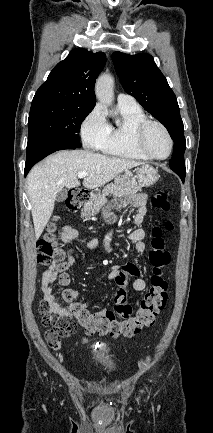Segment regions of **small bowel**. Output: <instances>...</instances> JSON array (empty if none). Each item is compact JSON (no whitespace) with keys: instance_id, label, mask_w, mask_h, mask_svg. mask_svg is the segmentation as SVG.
Returning a JSON list of instances; mask_svg holds the SVG:
<instances>
[{"instance_id":"small-bowel-1","label":"small bowel","mask_w":213,"mask_h":433,"mask_svg":"<svg viewBox=\"0 0 213 433\" xmlns=\"http://www.w3.org/2000/svg\"><path fill=\"white\" fill-rule=\"evenodd\" d=\"M120 206L122 208H126L128 206H132L136 209V214L134 215L133 222L136 226H140L145 218L147 213L146 208V195L143 193H137L130 196L128 199L121 202ZM113 216H108L109 221H113ZM113 231H109L101 240V244L106 253H110L112 251V239H113ZM80 236L79 231L73 226H66L61 233V239L65 245H69L72 241L78 239ZM145 239V231L141 228H137L128 234V240L133 245L135 251L137 253H144L146 250V246L144 243ZM100 243L99 240L95 239L90 242H86L85 245L87 247H93ZM79 258V255L75 251H71L69 258L64 261L61 265L57 263H53L44 273L42 277L41 290L43 293V300L45 307L48 310V313L60 318L71 319L73 318L71 312L67 307L61 305L56 299L53 292V284L56 279L62 276L67 269H69L74 262ZM120 271H127L128 275L131 277H135V280L132 283V288L135 291H143L147 286V281L140 277V269L137 265L128 263L123 266L116 265L113 266L112 272L110 274L111 278H114ZM66 274V273H65ZM75 292V291H74ZM75 297H77V293L75 292ZM108 310L101 311L102 313ZM46 339L48 343L54 349L61 348L60 335H58L55 331L50 330L46 332ZM89 341L88 337H83L81 339V344H86Z\"/></svg>"}]
</instances>
